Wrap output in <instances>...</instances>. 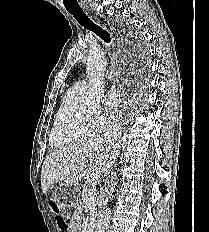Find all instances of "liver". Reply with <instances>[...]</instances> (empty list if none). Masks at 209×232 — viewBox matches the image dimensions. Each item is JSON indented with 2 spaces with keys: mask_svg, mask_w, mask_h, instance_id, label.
<instances>
[{
  "mask_svg": "<svg viewBox=\"0 0 209 232\" xmlns=\"http://www.w3.org/2000/svg\"><path fill=\"white\" fill-rule=\"evenodd\" d=\"M115 142L104 138L84 141L50 153L43 163L41 187L44 194L57 182L77 185L83 178L85 183H100L102 175L112 166L117 155Z\"/></svg>",
  "mask_w": 209,
  "mask_h": 232,
  "instance_id": "6515ba94",
  "label": "liver"
}]
</instances>
